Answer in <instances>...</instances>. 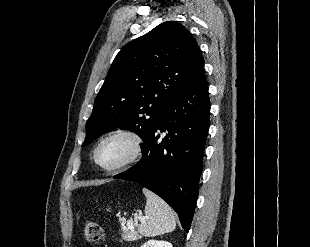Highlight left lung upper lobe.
I'll use <instances>...</instances> for the list:
<instances>
[{"instance_id":"left-lung-upper-lobe-1","label":"left lung upper lobe","mask_w":310,"mask_h":247,"mask_svg":"<svg viewBox=\"0 0 310 247\" xmlns=\"http://www.w3.org/2000/svg\"><path fill=\"white\" fill-rule=\"evenodd\" d=\"M191 33L164 22L129 42L115 57L86 123L82 146L117 127L148 140L172 99L203 69Z\"/></svg>"}]
</instances>
